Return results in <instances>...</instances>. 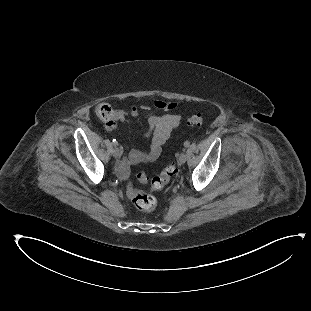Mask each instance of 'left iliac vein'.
Returning <instances> with one entry per match:
<instances>
[{"label":"left iliac vein","mask_w":311,"mask_h":311,"mask_svg":"<svg viewBox=\"0 0 311 311\" xmlns=\"http://www.w3.org/2000/svg\"><path fill=\"white\" fill-rule=\"evenodd\" d=\"M186 162V154L185 153H181L179 158H178V163L180 165H183Z\"/></svg>","instance_id":"obj_1"}]
</instances>
